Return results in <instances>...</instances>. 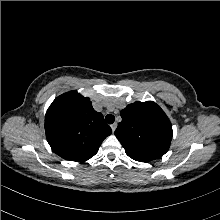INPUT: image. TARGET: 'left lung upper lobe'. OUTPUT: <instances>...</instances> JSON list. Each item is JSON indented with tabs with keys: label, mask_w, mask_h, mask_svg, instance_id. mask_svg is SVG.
I'll use <instances>...</instances> for the list:
<instances>
[{
	"label": "left lung upper lobe",
	"mask_w": 220,
	"mask_h": 220,
	"mask_svg": "<svg viewBox=\"0 0 220 220\" xmlns=\"http://www.w3.org/2000/svg\"><path fill=\"white\" fill-rule=\"evenodd\" d=\"M121 117L115 135L129 157L148 162L168 151L172 125L156 103L134 102L121 111Z\"/></svg>",
	"instance_id": "1"
}]
</instances>
